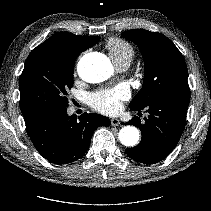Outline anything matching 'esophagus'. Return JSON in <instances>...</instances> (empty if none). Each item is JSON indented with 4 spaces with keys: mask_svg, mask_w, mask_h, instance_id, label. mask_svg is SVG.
I'll list each match as a JSON object with an SVG mask.
<instances>
[{
    "mask_svg": "<svg viewBox=\"0 0 211 211\" xmlns=\"http://www.w3.org/2000/svg\"><path fill=\"white\" fill-rule=\"evenodd\" d=\"M111 125L112 126H120L121 125L120 120L117 119V118H112L111 119Z\"/></svg>",
    "mask_w": 211,
    "mask_h": 211,
    "instance_id": "esophagus-1",
    "label": "esophagus"
}]
</instances>
